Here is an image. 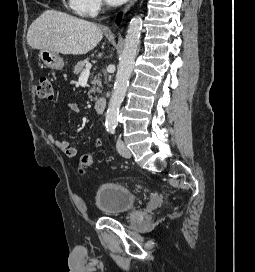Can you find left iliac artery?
<instances>
[{
  "mask_svg": "<svg viewBox=\"0 0 255 272\" xmlns=\"http://www.w3.org/2000/svg\"><path fill=\"white\" fill-rule=\"evenodd\" d=\"M108 131L113 134L115 132V128H110Z\"/></svg>",
  "mask_w": 255,
  "mask_h": 272,
  "instance_id": "obj_1",
  "label": "left iliac artery"
}]
</instances>
